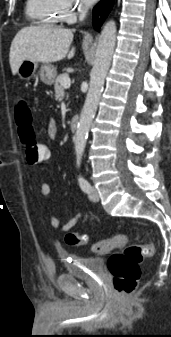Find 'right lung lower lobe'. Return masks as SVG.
I'll list each match as a JSON object with an SVG mask.
<instances>
[{"mask_svg": "<svg viewBox=\"0 0 171 337\" xmlns=\"http://www.w3.org/2000/svg\"><path fill=\"white\" fill-rule=\"evenodd\" d=\"M113 0H101L93 9V26L99 30L103 23V18L108 15L112 8ZM101 16V19L99 18Z\"/></svg>", "mask_w": 171, "mask_h": 337, "instance_id": "98d812e1", "label": "right lung lower lobe"}]
</instances>
